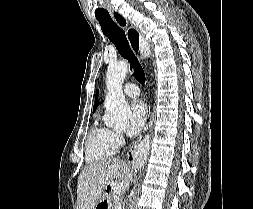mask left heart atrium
Segmentation results:
<instances>
[{
    "mask_svg": "<svg viewBox=\"0 0 253 209\" xmlns=\"http://www.w3.org/2000/svg\"><path fill=\"white\" fill-rule=\"evenodd\" d=\"M148 115L145 103L136 100L130 107L128 134L130 136L138 134L144 127Z\"/></svg>",
    "mask_w": 253,
    "mask_h": 209,
    "instance_id": "obj_1",
    "label": "left heart atrium"
}]
</instances>
